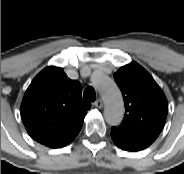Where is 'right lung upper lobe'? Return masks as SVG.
I'll return each mask as SVG.
<instances>
[{"label": "right lung upper lobe", "instance_id": "obj_1", "mask_svg": "<svg viewBox=\"0 0 184 174\" xmlns=\"http://www.w3.org/2000/svg\"><path fill=\"white\" fill-rule=\"evenodd\" d=\"M81 84L62 68L49 66L31 82L21 104V118L29 135L58 148L76 136L91 105L81 97Z\"/></svg>", "mask_w": 184, "mask_h": 174}]
</instances>
